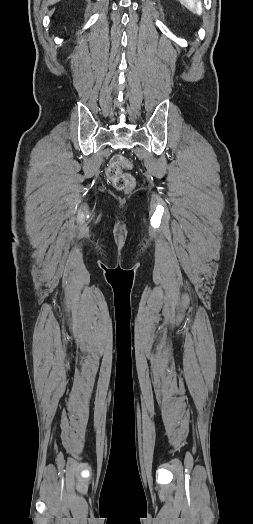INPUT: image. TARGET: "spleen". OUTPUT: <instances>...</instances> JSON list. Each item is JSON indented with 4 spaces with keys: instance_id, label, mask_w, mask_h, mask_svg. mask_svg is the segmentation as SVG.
I'll return each instance as SVG.
<instances>
[{
    "instance_id": "1",
    "label": "spleen",
    "mask_w": 253,
    "mask_h": 524,
    "mask_svg": "<svg viewBox=\"0 0 253 524\" xmlns=\"http://www.w3.org/2000/svg\"><path fill=\"white\" fill-rule=\"evenodd\" d=\"M178 1L192 13H195L198 15L202 14L203 9H202V6L199 0H178Z\"/></svg>"
}]
</instances>
